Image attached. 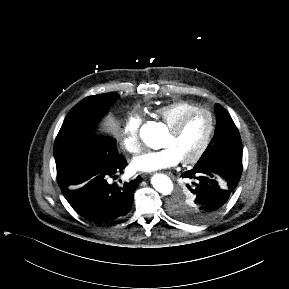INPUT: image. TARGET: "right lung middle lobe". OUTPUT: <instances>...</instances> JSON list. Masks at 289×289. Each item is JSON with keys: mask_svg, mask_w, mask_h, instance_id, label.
Returning <instances> with one entry per match:
<instances>
[{"mask_svg": "<svg viewBox=\"0 0 289 289\" xmlns=\"http://www.w3.org/2000/svg\"><path fill=\"white\" fill-rule=\"evenodd\" d=\"M118 97L116 93L89 96L70 110L55 140L56 164L75 156L98 158L107 153H117L114 139H96L93 130L99 118Z\"/></svg>", "mask_w": 289, "mask_h": 289, "instance_id": "dd1d6c3e", "label": "right lung middle lobe"}]
</instances>
